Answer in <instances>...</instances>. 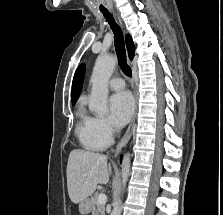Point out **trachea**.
Returning <instances> with one entry per match:
<instances>
[{"instance_id":"trachea-1","label":"trachea","mask_w":223,"mask_h":215,"mask_svg":"<svg viewBox=\"0 0 223 215\" xmlns=\"http://www.w3.org/2000/svg\"><path fill=\"white\" fill-rule=\"evenodd\" d=\"M104 17L110 24L111 29L114 33V45L115 50L118 58L119 65L122 69V71L127 75V77L132 76L131 68L129 67L126 59V51H125V45H124V37L123 32L121 28L115 23L112 15L109 13L108 10H101Z\"/></svg>"}]
</instances>
